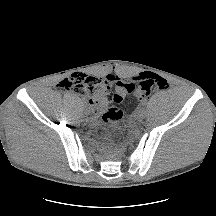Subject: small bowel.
<instances>
[{
    "label": "small bowel",
    "mask_w": 216,
    "mask_h": 216,
    "mask_svg": "<svg viewBox=\"0 0 216 216\" xmlns=\"http://www.w3.org/2000/svg\"><path fill=\"white\" fill-rule=\"evenodd\" d=\"M77 75H78V74H77ZM106 78H107L110 82H115V83L119 82V79H120V78L115 77L114 75H111V74L107 75ZM93 109H94V108H93ZM94 111L97 112L95 109H94Z\"/></svg>",
    "instance_id": "1"
}]
</instances>
